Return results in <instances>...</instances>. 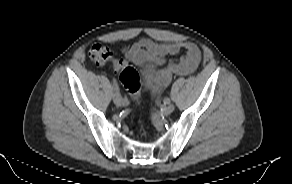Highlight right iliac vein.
<instances>
[{"label": "right iliac vein", "mask_w": 292, "mask_h": 184, "mask_svg": "<svg viewBox=\"0 0 292 184\" xmlns=\"http://www.w3.org/2000/svg\"><path fill=\"white\" fill-rule=\"evenodd\" d=\"M113 101L116 106H125L127 104L125 100H123L122 97H118L117 94L114 95Z\"/></svg>", "instance_id": "obj_1"}]
</instances>
